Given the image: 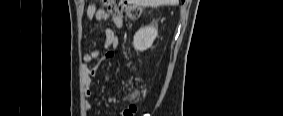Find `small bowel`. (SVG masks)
I'll list each match as a JSON object with an SVG mask.
<instances>
[{"mask_svg": "<svg viewBox=\"0 0 283 116\" xmlns=\"http://www.w3.org/2000/svg\"><path fill=\"white\" fill-rule=\"evenodd\" d=\"M86 16L88 19H96L98 21L111 20L116 29H120L123 26V20L120 16H115V15L112 16L107 12V10L96 4H91L87 7ZM104 36H105V40L103 43V49L107 51L106 54L107 58H110L112 56V50L117 49L119 46V39L116 31L109 27L104 29ZM99 56H100L99 49H93L92 51H90L89 53L83 56V62L81 64V72L83 76L85 94L87 97H90L93 93L92 77L98 71V65L91 67L90 63L97 60ZM85 108L87 110H91L92 106L89 102H87L85 104Z\"/></svg>", "mask_w": 283, "mask_h": 116, "instance_id": "c3829d8e", "label": "small bowel"}]
</instances>
